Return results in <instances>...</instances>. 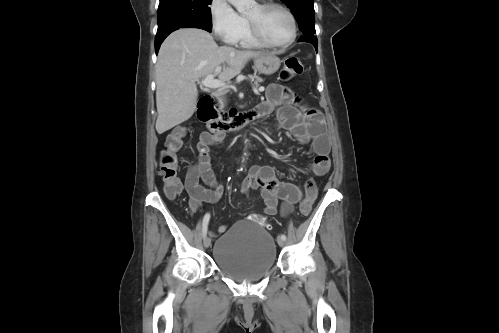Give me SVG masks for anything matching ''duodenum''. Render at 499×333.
Masks as SVG:
<instances>
[{"mask_svg":"<svg viewBox=\"0 0 499 333\" xmlns=\"http://www.w3.org/2000/svg\"><path fill=\"white\" fill-rule=\"evenodd\" d=\"M215 101V98L206 96L202 99L198 109L199 118L203 121H208V133L212 135L217 136L237 132L262 117V111L258 108H253L247 111L235 112L226 120L220 121L212 116V106L215 104Z\"/></svg>","mask_w":499,"mask_h":333,"instance_id":"duodenum-1","label":"duodenum"}]
</instances>
